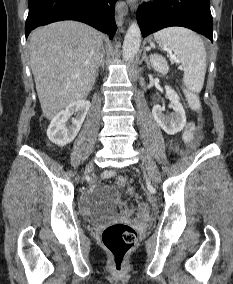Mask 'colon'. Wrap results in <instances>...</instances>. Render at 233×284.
<instances>
[{"instance_id": "obj_1", "label": "colon", "mask_w": 233, "mask_h": 284, "mask_svg": "<svg viewBox=\"0 0 233 284\" xmlns=\"http://www.w3.org/2000/svg\"><path fill=\"white\" fill-rule=\"evenodd\" d=\"M153 68L159 73H166L168 65L164 58L154 55L151 58ZM185 95L190 108L193 111L201 110V101L198 95L192 91L185 90ZM183 141L190 147L194 148L200 141V134L194 125H187L183 131ZM106 180L115 179L116 185L123 188L126 185V178L117 175L114 171L108 170L103 173ZM138 216L145 219L149 215V207L146 203H139L137 206ZM102 244L110 253L115 270L121 271L124 267L125 259L134 247L137 241L136 230L124 223H113L108 225L102 232Z\"/></svg>"}]
</instances>
